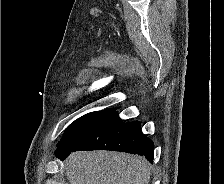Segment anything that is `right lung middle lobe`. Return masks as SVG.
Listing matches in <instances>:
<instances>
[{"instance_id": "dd1d6c3e", "label": "right lung middle lobe", "mask_w": 224, "mask_h": 184, "mask_svg": "<svg viewBox=\"0 0 224 184\" xmlns=\"http://www.w3.org/2000/svg\"><path fill=\"white\" fill-rule=\"evenodd\" d=\"M114 111L115 109L110 108L99 112L88 113L80 117L66 128L57 146H65L73 143L86 132L105 121Z\"/></svg>"}]
</instances>
